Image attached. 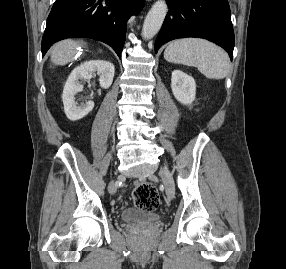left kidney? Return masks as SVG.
<instances>
[{"label":"left kidney","mask_w":286,"mask_h":269,"mask_svg":"<svg viewBox=\"0 0 286 269\" xmlns=\"http://www.w3.org/2000/svg\"><path fill=\"white\" fill-rule=\"evenodd\" d=\"M171 89L174 97L183 105H189L195 100V80L180 70L172 72Z\"/></svg>","instance_id":"1"}]
</instances>
